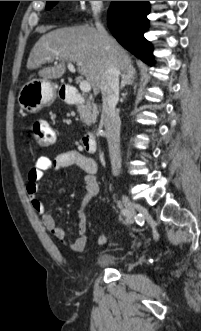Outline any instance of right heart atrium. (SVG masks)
<instances>
[{
	"label": "right heart atrium",
	"mask_w": 201,
	"mask_h": 331,
	"mask_svg": "<svg viewBox=\"0 0 201 331\" xmlns=\"http://www.w3.org/2000/svg\"><path fill=\"white\" fill-rule=\"evenodd\" d=\"M83 4L89 6V9L85 11L87 16H90L92 12H99L104 7V1H81Z\"/></svg>",
	"instance_id": "d8ad5b80"
}]
</instances>
